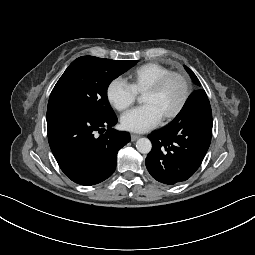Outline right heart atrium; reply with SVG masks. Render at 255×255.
Here are the masks:
<instances>
[{"label":"right heart atrium","mask_w":255,"mask_h":255,"mask_svg":"<svg viewBox=\"0 0 255 255\" xmlns=\"http://www.w3.org/2000/svg\"><path fill=\"white\" fill-rule=\"evenodd\" d=\"M137 92L124 79L117 77L112 79L106 88L108 102L118 111H125L136 100Z\"/></svg>","instance_id":"d8ad5b80"}]
</instances>
